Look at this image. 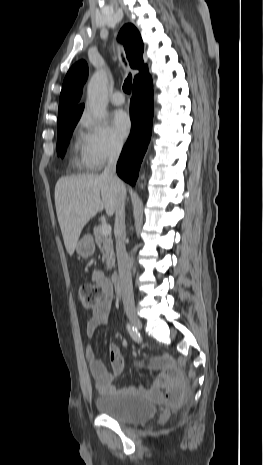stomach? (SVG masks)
<instances>
[{"label":"stomach","mask_w":263,"mask_h":465,"mask_svg":"<svg viewBox=\"0 0 263 465\" xmlns=\"http://www.w3.org/2000/svg\"><path fill=\"white\" fill-rule=\"evenodd\" d=\"M76 252L82 258H88L94 254L95 244L91 235L83 236L76 245Z\"/></svg>","instance_id":"stomach-1"}]
</instances>
